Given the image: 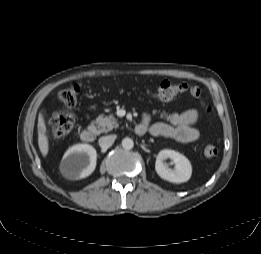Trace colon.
I'll return each mask as SVG.
<instances>
[{
	"instance_id": "1",
	"label": "colon",
	"mask_w": 261,
	"mask_h": 254,
	"mask_svg": "<svg viewBox=\"0 0 261 254\" xmlns=\"http://www.w3.org/2000/svg\"><path fill=\"white\" fill-rule=\"evenodd\" d=\"M81 92V86L74 84L70 87L62 89L59 92V100L67 107H73L78 101ZM188 93L192 98L197 100L203 112L211 115L212 107L202 99L201 89L197 85L188 84L185 82H171L168 80L162 81L155 90H146V95L154 100L166 101L180 94ZM75 124V115L69 110H59L50 118V126L56 136H65L71 132ZM218 153L214 145H207L204 148L206 157H214Z\"/></svg>"
}]
</instances>
